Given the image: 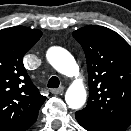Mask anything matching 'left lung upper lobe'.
I'll use <instances>...</instances> for the list:
<instances>
[{"label":"left lung upper lobe","mask_w":131,"mask_h":131,"mask_svg":"<svg viewBox=\"0 0 131 131\" xmlns=\"http://www.w3.org/2000/svg\"><path fill=\"white\" fill-rule=\"evenodd\" d=\"M72 35L85 52L89 77V100L76 119L87 131H124L131 124V47L102 26Z\"/></svg>","instance_id":"1"}]
</instances>
